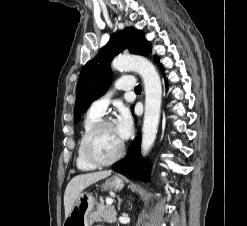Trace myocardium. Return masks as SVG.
<instances>
[{
	"mask_svg": "<svg viewBox=\"0 0 247 226\" xmlns=\"http://www.w3.org/2000/svg\"><path fill=\"white\" fill-rule=\"evenodd\" d=\"M108 126H113V122L111 120L108 119H103V120H99L97 123H95L85 134L84 138H83V142H82V151H83V155L85 157V159L92 165L96 166V167H103V166H109L115 162H117L118 160H120L123 155L125 154V150H126V146L124 143H122V146L120 148V150L118 151V153L113 156L110 159L107 160H100L98 158H96L91 150H90V142L92 140V138L103 128L108 127Z\"/></svg>",
	"mask_w": 247,
	"mask_h": 226,
	"instance_id": "f54148a6",
	"label": "myocardium"
}]
</instances>
